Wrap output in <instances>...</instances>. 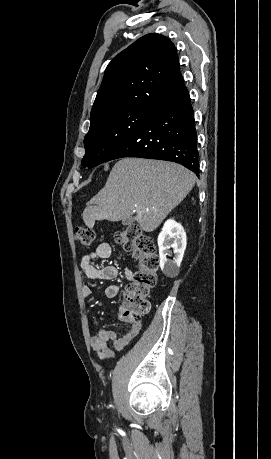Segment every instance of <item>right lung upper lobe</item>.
<instances>
[{"label": "right lung upper lobe", "mask_w": 271, "mask_h": 459, "mask_svg": "<svg viewBox=\"0 0 271 459\" xmlns=\"http://www.w3.org/2000/svg\"><path fill=\"white\" fill-rule=\"evenodd\" d=\"M185 88L174 44L163 35H145L107 66L91 120L137 106L156 111Z\"/></svg>", "instance_id": "cb5924a9"}]
</instances>
